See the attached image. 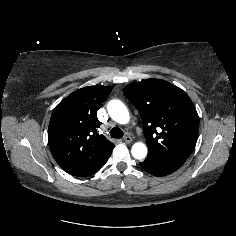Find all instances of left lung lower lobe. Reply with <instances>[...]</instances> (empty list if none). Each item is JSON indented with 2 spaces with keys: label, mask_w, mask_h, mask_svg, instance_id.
I'll use <instances>...</instances> for the list:
<instances>
[{
  "label": "left lung lower lobe",
  "mask_w": 236,
  "mask_h": 236,
  "mask_svg": "<svg viewBox=\"0 0 236 236\" xmlns=\"http://www.w3.org/2000/svg\"><path fill=\"white\" fill-rule=\"evenodd\" d=\"M140 166L154 176H166L179 169L184 162L164 161L147 157Z\"/></svg>",
  "instance_id": "obj_1"
}]
</instances>
